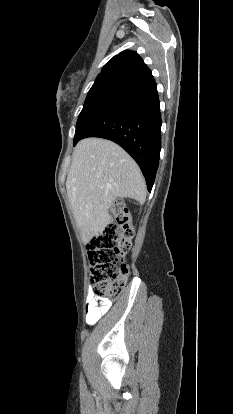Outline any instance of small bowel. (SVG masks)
Here are the masks:
<instances>
[{
  "label": "small bowel",
  "instance_id": "c3829d8e",
  "mask_svg": "<svg viewBox=\"0 0 233 414\" xmlns=\"http://www.w3.org/2000/svg\"><path fill=\"white\" fill-rule=\"evenodd\" d=\"M88 293L92 292L91 288L87 289ZM112 302L107 298L98 297L89 294L87 297L85 321L88 325L97 323L111 308Z\"/></svg>",
  "mask_w": 233,
  "mask_h": 414
}]
</instances>
